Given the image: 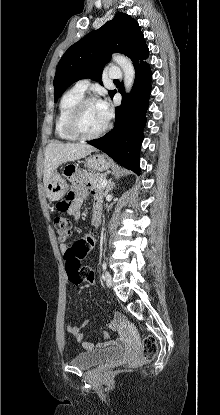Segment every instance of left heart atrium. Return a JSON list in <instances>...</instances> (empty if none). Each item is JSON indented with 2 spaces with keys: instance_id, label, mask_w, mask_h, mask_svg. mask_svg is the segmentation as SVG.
Here are the masks:
<instances>
[{
  "instance_id": "39dd6f15",
  "label": "left heart atrium",
  "mask_w": 220,
  "mask_h": 415,
  "mask_svg": "<svg viewBox=\"0 0 220 415\" xmlns=\"http://www.w3.org/2000/svg\"><path fill=\"white\" fill-rule=\"evenodd\" d=\"M98 107L102 118L107 122L111 115L109 103L106 100H102L98 103Z\"/></svg>"
}]
</instances>
